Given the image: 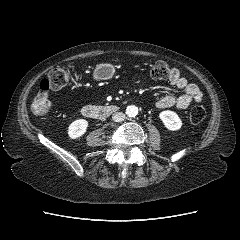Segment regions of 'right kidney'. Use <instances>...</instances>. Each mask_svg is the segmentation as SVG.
I'll use <instances>...</instances> for the list:
<instances>
[{"label": "right kidney", "mask_w": 240, "mask_h": 240, "mask_svg": "<svg viewBox=\"0 0 240 240\" xmlns=\"http://www.w3.org/2000/svg\"><path fill=\"white\" fill-rule=\"evenodd\" d=\"M88 127V121L85 119H78L73 121L68 127V135L72 139H76L84 135Z\"/></svg>", "instance_id": "ca27d5eb"}]
</instances>
